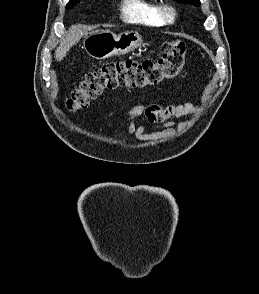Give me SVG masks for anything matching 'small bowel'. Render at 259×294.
I'll list each match as a JSON object with an SVG mask.
<instances>
[{"mask_svg": "<svg viewBox=\"0 0 259 294\" xmlns=\"http://www.w3.org/2000/svg\"><path fill=\"white\" fill-rule=\"evenodd\" d=\"M198 111L199 106L193 103L164 106L160 104L145 105L142 102H137L126 112V130L128 132L135 131L140 138L148 137L149 135L145 133L144 127L141 126L135 129L132 121L133 118L144 114L150 123L164 125L161 131L153 133L150 136L155 138L168 137L173 135L176 131L185 130L189 125L188 121H182L176 124L171 120L172 118L192 115Z\"/></svg>", "mask_w": 259, "mask_h": 294, "instance_id": "1", "label": "small bowel"}]
</instances>
